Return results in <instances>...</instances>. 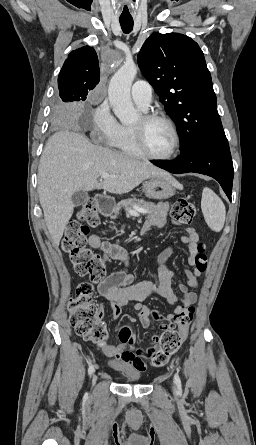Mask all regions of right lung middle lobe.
Segmentation results:
<instances>
[{
	"mask_svg": "<svg viewBox=\"0 0 256 445\" xmlns=\"http://www.w3.org/2000/svg\"><path fill=\"white\" fill-rule=\"evenodd\" d=\"M60 104L56 110L53 111L52 118L56 122H64L69 118V103L80 101L79 98L73 96L68 92H60Z\"/></svg>",
	"mask_w": 256,
	"mask_h": 445,
	"instance_id": "1",
	"label": "right lung middle lobe"
}]
</instances>
